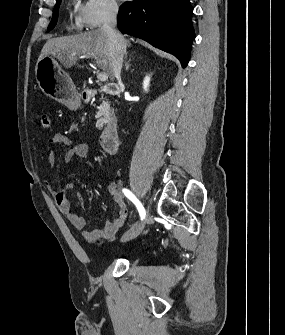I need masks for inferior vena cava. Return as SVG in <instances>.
<instances>
[{"label":"inferior vena cava","instance_id":"1","mask_svg":"<svg viewBox=\"0 0 285 335\" xmlns=\"http://www.w3.org/2000/svg\"><path fill=\"white\" fill-rule=\"evenodd\" d=\"M118 6L116 0H106V14L101 30L106 32L110 40L112 54V66L114 74H121L123 58L126 54L125 40L122 34L116 30Z\"/></svg>","mask_w":285,"mask_h":335}]
</instances>
